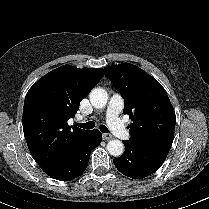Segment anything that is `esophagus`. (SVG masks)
Wrapping results in <instances>:
<instances>
[{
    "label": "esophagus",
    "instance_id": "esophagus-1",
    "mask_svg": "<svg viewBox=\"0 0 209 209\" xmlns=\"http://www.w3.org/2000/svg\"><path fill=\"white\" fill-rule=\"evenodd\" d=\"M102 137L104 140H111L113 138V136L108 133L103 134Z\"/></svg>",
    "mask_w": 209,
    "mask_h": 209
}]
</instances>
